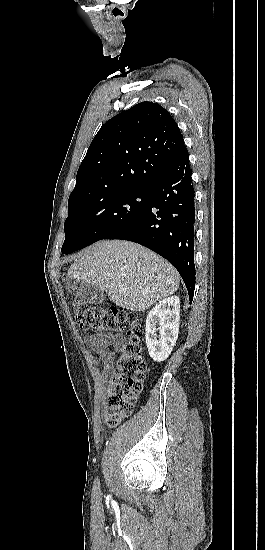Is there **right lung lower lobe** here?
<instances>
[{
    "label": "right lung lower lobe",
    "mask_w": 265,
    "mask_h": 550,
    "mask_svg": "<svg viewBox=\"0 0 265 550\" xmlns=\"http://www.w3.org/2000/svg\"><path fill=\"white\" fill-rule=\"evenodd\" d=\"M188 151L151 184L145 209L104 239L139 243L167 259L180 273L192 303L195 289L194 188Z\"/></svg>",
    "instance_id": "obj_1"
}]
</instances>
